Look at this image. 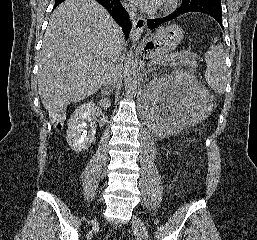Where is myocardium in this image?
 Wrapping results in <instances>:
<instances>
[{
  "mask_svg": "<svg viewBox=\"0 0 257 240\" xmlns=\"http://www.w3.org/2000/svg\"><path fill=\"white\" fill-rule=\"evenodd\" d=\"M176 1L177 0H163V2H162V9L163 10L171 9L176 4Z\"/></svg>",
  "mask_w": 257,
  "mask_h": 240,
  "instance_id": "f54148a6",
  "label": "myocardium"
}]
</instances>
